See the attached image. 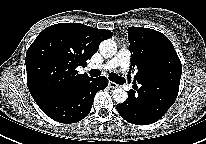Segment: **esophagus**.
Listing matches in <instances>:
<instances>
[{
  "label": "esophagus",
  "mask_w": 206,
  "mask_h": 144,
  "mask_svg": "<svg viewBox=\"0 0 206 144\" xmlns=\"http://www.w3.org/2000/svg\"><path fill=\"white\" fill-rule=\"evenodd\" d=\"M109 87L110 88H117L118 87V84L117 83H115V82H113V81H109Z\"/></svg>",
  "instance_id": "esophagus-1"
}]
</instances>
